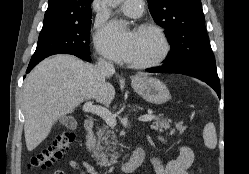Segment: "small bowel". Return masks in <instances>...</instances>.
I'll return each instance as SVG.
<instances>
[{"mask_svg":"<svg viewBox=\"0 0 249 174\" xmlns=\"http://www.w3.org/2000/svg\"><path fill=\"white\" fill-rule=\"evenodd\" d=\"M160 141L164 144H167V141L163 138H160ZM179 156L170 161L168 164H164L154 153H151L150 160L155 169L156 174H193L191 171V166L194 161V153L187 146L178 147ZM67 166L80 172V174H85L83 168L89 174H98L94 171L93 167L86 161L81 163L75 160H69ZM52 174H66L62 170H55Z\"/></svg>","mask_w":249,"mask_h":174,"instance_id":"small-bowel-1","label":"small bowel"}]
</instances>
